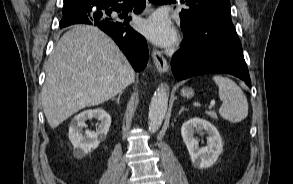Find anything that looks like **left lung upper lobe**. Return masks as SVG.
<instances>
[{
  "label": "left lung upper lobe",
  "mask_w": 293,
  "mask_h": 184,
  "mask_svg": "<svg viewBox=\"0 0 293 184\" xmlns=\"http://www.w3.org/2000/svg\"><path fill=\"white\" fill-rule=\"evenodd\" d=\"M189 9H183L187 16H193L197 13V9H212L222 14L231 16V7L229 0H186Z\"/></svg>",
  "instance_id": "5c2ea615"
}]
</instances>
